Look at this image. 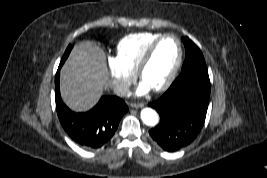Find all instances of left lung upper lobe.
Returning a JSON list of instances; mask_svg holds the SVG:
<instances>
[{
	"mask_svg": "<svg viewBox=\"0 0 267 178\" xmlns=\"http://www.w3.org/2000/svg\"><path fill=\"white\" fill-rule=\"evenodd\" d=\"M186 49V57L179 76L187 74L208 75L204 57L200 49L188 38H182Z\"/></svg>",
	"mask_w": 267,
	"mask_h": 178,
	"instance_id": "5c2ea615",
	"label": "left lung upper lobe"
}]
</instances>
